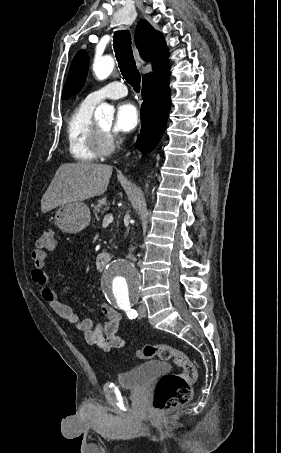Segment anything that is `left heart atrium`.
<instances>
[{
	"label": "left heart atrium",
	"instance_id": "left-heart-atrium-1",
	"mask_svg": "<svg viewBox=\"0 0 281 453\" xmlns=\"http://www.w3.org/2000/svg\"><path fill=\"white\" fill-rule=\"evenodd\" d=\"M139 120L137 107L129 101H123L117 107L112 130L113 132L132 131L137 127Z\"/></svg>",
	"mask_w": 281,
	"mask_h": 453
}]
</instances>
